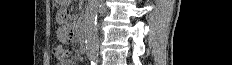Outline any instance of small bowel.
I'll use <instances>...</instances> for the list:
<instances>
[{
	"instance_id": "small-bowel-1",
	"label": "small bowel",
	"mask_w": 232,
	"mask_h": 65,
	"mask_svg": "<svg viewBox=\"0 0 232 65\" xmlns=\"http://www.w3.org/2000/svg\"><path fill=\"white\" fill-rule=\"evenodd\" d=\"M74 12H58L57 16L54 17L55 21H67V17H74ZM70 24L64 23L58 26V31L56 32V37H58V42L62 43V45H70L71 40H75L76 33L75 32H67L69 31ZM72 47H79V42H72ZM59 65H71V62L66 60Z\"/></svg>"
}]
</instances>
